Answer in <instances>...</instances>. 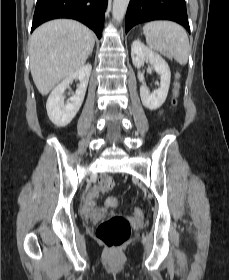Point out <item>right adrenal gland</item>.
Returning a JSON list of instances; mask_svg holds the SVG:
<instances>
[{
    "instance_id": "2a0ac1e0",
    "label": "right adrenal gland",
    "mask_w": 229,
    "mask_h": 280,
    "mask_svg": "<svg viewBox=\"0 0 229 280\" xmlns=\"http://www.w3.org/2000/svg\"><path fill=\"white\" fill-rule=\"evenodd\" d=\"M92 52H93V47H92V49H91V51H90V53H89V56H91V55H92Z\"/></svg>"
}]
</instances>
